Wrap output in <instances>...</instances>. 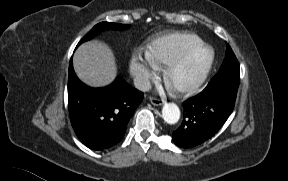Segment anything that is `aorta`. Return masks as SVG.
<instances>
[{"instance_id":"762f6f07","label":"aorta","mask_w":288,"mask_h":181,"mask_svg":"<svg viewBox=\"0 0 288 181\" xmlns=\"http://www.w3.org/2000/svg\"><path fill=\"white\" fill-rule=\"evenodd\" d=\"M162 117L168 124H176L180 119V109L175 103H166L162 109Z\"/></svg>"}]
</instances>
